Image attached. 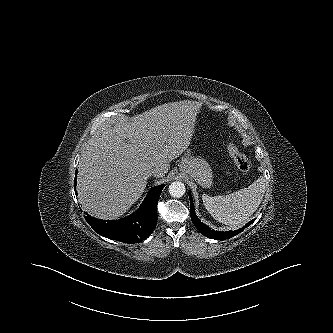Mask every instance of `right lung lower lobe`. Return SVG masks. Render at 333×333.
Returning a JSON list of instances; mask_svg holds the SVG:
<instances>
[{
    "label": "right lung lower lobe",
    "instance_id": "98d812e1",
    "mask_svg": "<svg viewBox=\"0 0 333 333\" xmlns=\"http://www.w3.org/2000/svg\"><path fill=\"white\" fill-rule=\"evenodd\" d=\"M164 187L151 188L140 208L128 217L106 221L87 215L85 220L95 232L106 238L125 243L141 242L150 236L157 225V203Z\"/></svg>",
    "mask_w": 333,
    "mask_h": 333
}]
</instances>
